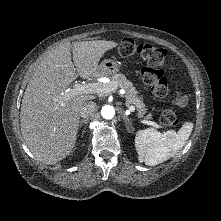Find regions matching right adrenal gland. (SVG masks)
Returning a JSON list of instances; mask_svg holds the SVG:
<instances>
[{
    "mask_svg": "<svg viewBox=\"0 0 221 221\" xmlns=\"http://www.w3.org/2000/svg\"><path fill=\"white\" fill-rule=\"evenodd\" d=\"M87 122H88V119H82V120H80V121H79V128H81V126H82L83 123L87 124Z\"/></svg>",
    "mask_w": 221,
    "mask_h": 221,
    "instance_id": "1",
    "label": "right adrenal gland"
}]
</instances>
